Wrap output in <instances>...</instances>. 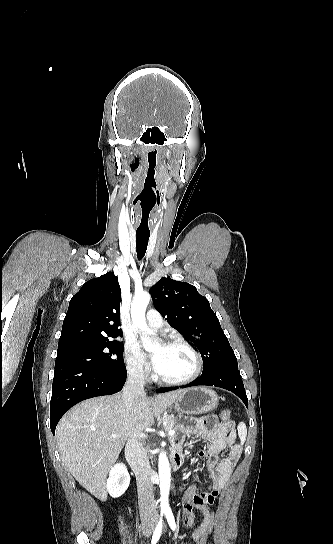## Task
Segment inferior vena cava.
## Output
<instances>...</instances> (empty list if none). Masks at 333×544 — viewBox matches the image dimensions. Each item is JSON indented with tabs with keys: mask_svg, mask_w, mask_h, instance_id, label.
I'll return each instance as SVG.
<instances>
[{
	"mask_svg": "<svg viewBox=\"0 0 333 544\" xmlns=\"http://www.w3.org/2000/svg\"><path fill=\"white\" fill-rule=\"evenodd\" d=\"M144 384L145 379L141 369L135 368L129 371L122 393V399L128 411L133 409L134 400L138 396L145 395ZM126 455L136 476L139 512L141 518L145 520L156 515L153 484L150 479L152 470L147 453L135 435L131 436L127 441Z\"/></svg>",
	"mask_w": 333,
	"mask_h": 544,
	"instance_id": "602c4592",
	"label": "inferior vena cava"
}]
</instances>
